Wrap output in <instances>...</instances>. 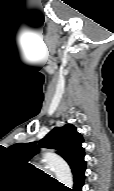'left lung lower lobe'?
I'll return each instance as SVG.
<instances>
[{
  "instance_id": "obj_1",
  "label": "left lung lower lobe",
  "mask_w": 114,
  "mask_h": 191,
  "mask_svg": "<svg viewBox=\"0 0 114 191\" xmlns=\"http://www.w3.org/2000/svg\"><path fill=\"white\" fill-rule=\"evenodd\" d=\"M85 169L86 164L85 162H83L81 165H79L76 169L72 171L74 176V187L71 191H81L85 178Z\"/></svg>"
}]
</instances>
